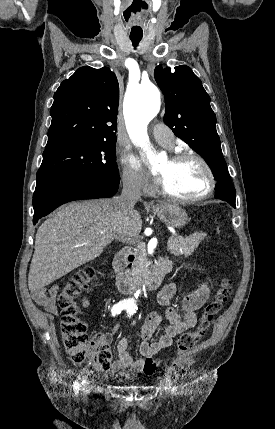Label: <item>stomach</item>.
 <instances>
[{
	"label": "stomach",
	"mask_w": 275,
	"mask_h": 429,
	"mask_svg": "<svg viewBox=\"0 0 275 429\" xmlns=\"http://www.w3.org/2000/svg\"><path fill=\"white\" fill-rule=\"evenodd\" d=\"M155 213L167 226L180 228L186 225L188 216L186 211L175 204H161L155 208Z\"/></svg>",
	"instance_id": "0dacf381"
}]
</instances>
